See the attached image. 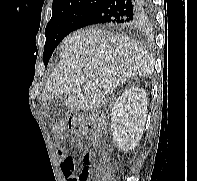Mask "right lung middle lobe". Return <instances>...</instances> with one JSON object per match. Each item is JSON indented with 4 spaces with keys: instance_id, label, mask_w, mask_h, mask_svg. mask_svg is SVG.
Wrapping results in <instances>:
<instances>
[{
    "instance_id": "right-lung-middle-lobe-1",
    "label": "right lung middle lobe",
    "mask_w": 197,
    "mask_h": 181,
    "mask_svg": "<svg viewBox=\"0 0 197 181\" xmlns=\"http://www.w3.org/2000/svg\"><path fill=\"white\" fill-rule=\"evenodd\" d=\"M96 4H83L74 8L53 12L51 20L45 29L46 43L43 59L47 66L48 61L61 40L76 29L79 21L91 11Z\"/></svg>"
}]
</instances>
